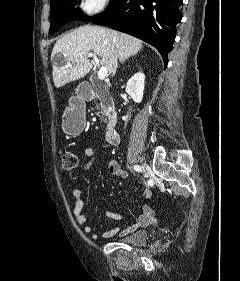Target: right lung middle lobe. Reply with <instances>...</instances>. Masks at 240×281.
<instances>
[{"instance_id": "1", "label": "right lung middle lobe", "mask_w": 240, "mask_h": 281, "mask_svg": "<svg viewBox=\"0 0 240 281\" xmlns=\"http://www.w3.org/2000/svg\"><path fill=\"white\" fill-rule=\"evenodd\" d=\"M77 0H51L50 1V30L49 34H53L55 31L60 29L64 24L74 21H94L100 16L108 12L116 3L117 0H110L109 6L107 9L95 15L94 17H85L82 14L80 8H75V3Z\"/></svg>"}]
</instances>
